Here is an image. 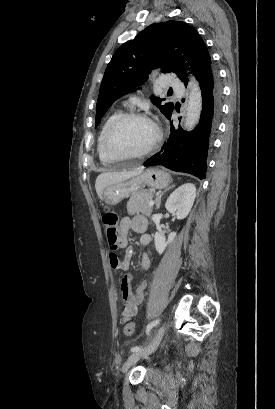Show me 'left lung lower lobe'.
<instances>
[{
  "label": "left lung lower lobe",
  "mask_w": 275,
  "mask_h": 409,
  "mask_svg": "<svg viewBox=\"0 0 275 409\" xmlns=\"http://www.w3.org/2000/svg\"><path fill=\"white\" fill-rule=\"evenodd\" d=\"M197 80L203 98L199 124L193 131L186 132L181 128L175 129L171 121L169 139L159 153L146 161L145 166L158 164L173 171L192 174L201 180L206 178L211 136L217 130L221 116L222 86L218 72L211 64L197 76ZM171 114L167 116L168 119Z\"/></svg>",
  "instance_id": "1"
}]
</instances>
